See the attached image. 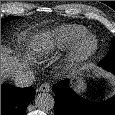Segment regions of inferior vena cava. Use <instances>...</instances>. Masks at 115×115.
Listing matches in <instances>:
<instances>
[{"label": "inferior vena cava", "mask_w": 115, "mask_h": 115, "mask_svg": "<svg viewBox=\"0 0 115 115\" xmlns=\"http://www.w3.org/2000/svg\"><path fill=\"white\" fill-rule=\"evenodd\" d=\"M35 75L31 71H20L14 76V83L17 87H29L33 84Z\"/></svg>", "instance_id": "1"}]
</instances>
